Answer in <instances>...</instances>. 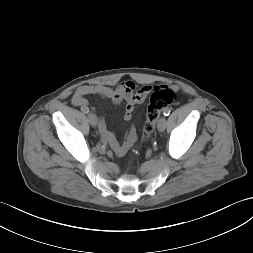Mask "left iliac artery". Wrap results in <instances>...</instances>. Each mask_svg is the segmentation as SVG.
<instances>
[{
  "label": "left iliac artery",
  "mask_w": 253,
  "mask_h": 253,
  "mask_svg": "<svg viewBox=\"0 0 253 253\" xmlns=\"http://www.w3.org/2000/svg\"><path fill=\"white\" fill-rule=\"evenodd\" d=\"M163 114L165 116H168L170 114V109L169 108H165L164 111H163Z\"/></svg>",
  "instance_id": "obj_1"
}]
</instances>
